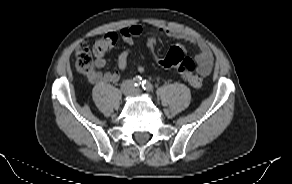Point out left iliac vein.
I'll return each mask as SVG.
<instances>
[{
	"label": "left iliac vein",
	"mask_w": 292,
	"mask_h": 184,
	"mask_svg": "<svg viewBox=\"0 0 292 184\" xmlns=\"http://www.w3.org/2000/svg\"><path fill=\"white\" fill-rule=\"evenodd\" d=\"M135 94H140V90L139 89H137V90H135Z\"/></svg>",
	"instance_id": "4c4485c4"
}]
</instances>
